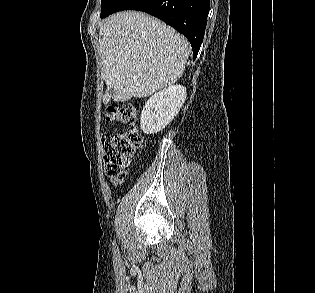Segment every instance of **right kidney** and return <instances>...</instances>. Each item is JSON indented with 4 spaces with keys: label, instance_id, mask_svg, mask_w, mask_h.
I'll list each match as a JSON object with an SVG mask.
<instances>
[{
    "label": "right kidney",
    "instance_id": "right-kidney-1",
    "mask_svg": "<svg viewBox=\"0 0 315 293\" xmlns=\"http://www.w3.org/2000/svg\"><path fill=\"white\" fill-rule=\"evenodd\" d=\"M186 99V88L171 85L151 96L141 113V130L145 134L162 131L178 114Z\"/></svg>",
    "mask_w": 315,
    "mask_h": 293
}]
</instances>
